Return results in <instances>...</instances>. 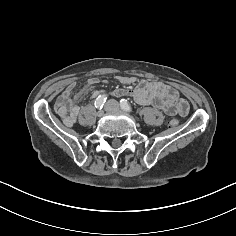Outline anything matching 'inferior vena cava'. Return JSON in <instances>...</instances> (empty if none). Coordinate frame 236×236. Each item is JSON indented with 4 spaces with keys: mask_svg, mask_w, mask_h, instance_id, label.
I'll use <instances>...</instances> for the list:
<instances>
[{
    "mask_svg": "<svg viewBox=\"0 0 236 236\" xmlns=\"http://www.w3.org/2000/svg\"><path fill=\"white\" fill-rule=\"evenodd\" d=\"M117 105H118L117 101L112 99V100L108 101L107 108L108 109H114Z\"/></svg>",
    "mask_w": 236,
    "mask_h": 236,
    "instance_id": "obj_1",
    "label": "inferior vena cava"
}]
</instances>
